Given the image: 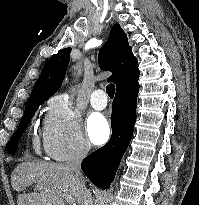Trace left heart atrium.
<instances>
[{"label": "left heart atrium", "instance_id": "obj_1", "mask_svg": "<svg viewBox=\"0 0 199 205\" xmlns=\"http://www.w3.org/2000/svg\"><path fill=\"white\" fill-rule=\"evenodd\" d=\"M87 134L93 144L104 143L110 135V128L107 120L100 114H92L87 120Z\"/></svg>", "mask_w": 199, "mask_h": 205}]
</instances>
